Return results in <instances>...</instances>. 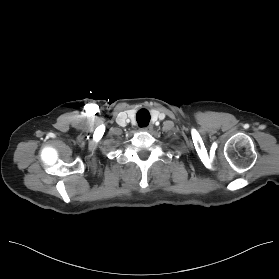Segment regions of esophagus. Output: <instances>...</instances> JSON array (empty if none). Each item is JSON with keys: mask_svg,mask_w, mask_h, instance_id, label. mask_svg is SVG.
I'll list each match as a JSON object with an SVG mask.
<instances>
[{"mask_svg": "<svg viewBox=\"0 0 279 279\" xmlns=\"http://www.w3.org/2000/svg\"><path fill=\"white\" fill-rule=\"evenodd\" d=\"M153 129V126L152 125H148L146 127H142L141 130L142 131H145V132H149Z\"/></svg>", "mask_w": 279, "mask_h": 279, "instance_id": "34e87169", "label": "esophagus"}]
</instances>
